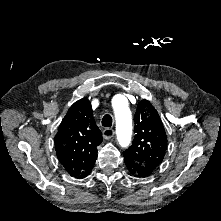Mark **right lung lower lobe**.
Listing matches in <instances>:
<instances>
[{
  "label": "right lung lower lobe",
  "mask_w": 221,
  "mask_h": 221,
  "mask_svg": "<svg viewBox=\"0 0 221 221\" xmlns=\"http://www.w3.org/2000/svg\"><path fill=\"white\" fill-rule=\"evenodd\" d=\"M91 170H92V169H91ZM91 170H90V171H88L87 175H88V174L91 172ZM87 175H86V176H87ZM86 176H85V177H86Z\"/></svg>",
  "instance_id": "98d812e1"
}]
</instances>
